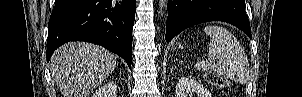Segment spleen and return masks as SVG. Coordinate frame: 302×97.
<instances>
[{"instance_id": "spleen-1", "label": "spleen", "mask_w": 302, "mask_h": 97, "mask_svg": "<svg viewBox=\"0 0 302 97\" xmlns=\"http://www.w3.org/2000/svg\"><path fill=\"white\" fill-rule=\"evenodd\" d=\"M203 31L211 37L208 59L198 62L195 69L202 72L212 69L233 81L245 84L249 78V62L236 37L226 28L216 25L206 26Z\"/></svg>"}]
</instances>
